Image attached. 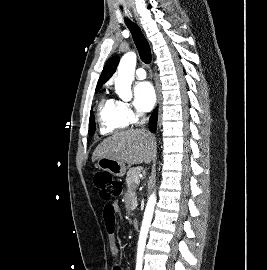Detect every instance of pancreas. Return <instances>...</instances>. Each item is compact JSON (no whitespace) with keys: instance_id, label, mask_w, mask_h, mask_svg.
Returning a JSON list of instances; mask_svg holds the SVG:
<instances>
[{"instance_id":"pancreas-1","label":"pancreas","mask_w":267,"mask_h":270,"mask_svg":"<svg viewBox=\"0 0 267 270\" xmlns=\"http://www.w3.org/2000/svg\"><path fill=\"white\" fill-rule=\"evenodd\" d=\"M142 171V167H133L130 168L127 177H126V184L128 187V201L129 203H132L133 200L136 198L134 197V190L137 186L135 183V179L139 177L140 173Z\"/></svg>"}]
</instances>
